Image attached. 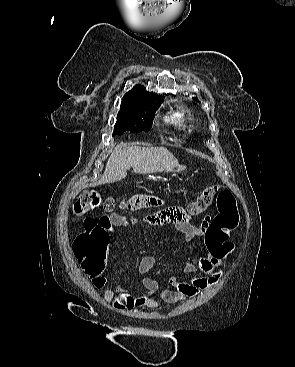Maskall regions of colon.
Segmentation results:
<instances>
[{
	"label": "colon",
	"instance_id": "obj_1",
	"mask_svg": "<svg viewBox=\"0 0 295 367\" xmlns=\"http://www.w3.org/2000/svg\"><path fill=\"white\" fill-rule=\"evenodd\" d=\"M215 202L218 214L210 224L207 235V245L218 255L225 256L233 247L228 242L229 233L234 230L239 221L235 198L219 185H210L190 203L187 208L189 216L198 215ZM161 200H155V205ZM98 205L111 212L118 203L112 197H101L98 192L88 190L82 192L74 203V211L78 214H87ZM126 208V203L122 204ZM177 208V207H176ZM108 236L106 231L95 220L87 218L84 221V231L73 241V251L84 271L91 277L102 273L105 266Z\"/></svg>",
	"mask_w": 295,
	"mask_h": 367
}]
</instances>
